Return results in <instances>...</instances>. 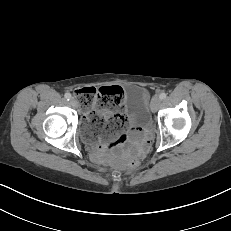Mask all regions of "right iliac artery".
I'll use <instances>...</instances> for the list:
<instances>
[{"instance_id": "82829eb1", "label": "right iliac artery", "mask_w": 231, "mask_h": 231, "mask_svg": "<svg viewBox=\"0 0 231 231\" xmlns=\"http://www.w3.org/2000/svg\"><path fill=\"white\" fill-rule=\"evenodd\" d=\"M64 97L67 99V100H70L71 99V94L70 93H66L64 95Z\"/></svg>"}]
</instances>
